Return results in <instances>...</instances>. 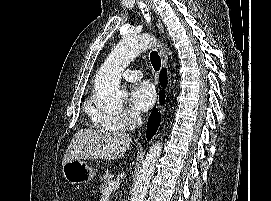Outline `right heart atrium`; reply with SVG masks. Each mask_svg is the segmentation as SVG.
<instances>
[{"label": "right heart atrium", "mask_w": 271, "mask_h": 201, "mask_svg": "<svg viewBox=\"0 0 271 201\" xmlns=\"http://www.w3.org/2000/svg\"><path fill=\"white\" fill-rule=\"evenodd\" d=\"M92 120L99 127L131 130L139 123L141 117L139 113L130 109L123 110L115 115H109L101 111H93Z\"/></svg>", "instance_id": "obj_1"}]
</instances>
